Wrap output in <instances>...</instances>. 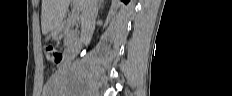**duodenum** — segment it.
<instances>
[{"instance_id":"1","label":"duodenum","mask_w":232,"mask_h":96,"mask_svg":"<svg viewBox=\"0 0 232 96\" xmlns=\"http://www.w3.org/2000/svg\"><path fill=\"white\" fill-rule=\"evenodd\" d=\"M77 54H78V49L77 48H73V49H70L68 51L65 52V58L67 61H74L77 57Z\"/></svg>"}]
</instances>
